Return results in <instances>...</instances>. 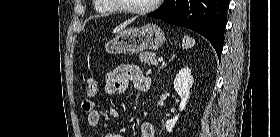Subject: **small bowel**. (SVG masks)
<instances>
[{
  "label": "small bowel",
  "mask_w": 280,
  "mask_h": 137,
  "mask_svg": "<svg viewBox=\"0 0 280 137\" xmlns=\"http://www.w3.org/2000/svg\"><path fill=\"white\" fill-rule=\"evenodd\" d=\"M132 83L134 89L138 92H145L151 85L150 78L146 77L138 66L123 64L109 72L105 77V92L115 98L122 95ZM82 109L87 114V123L89 128L94 129L100 122V113L96 109L94 100H85L82 103ZM120 111L117 106L109 108V116L117 118ZM154 126L150 122H142L140 125V137H153ZM105 137H122L119 134L110 133Z\"/></svg>",
  "instance_id": "obj_1"
}]
</instances>
